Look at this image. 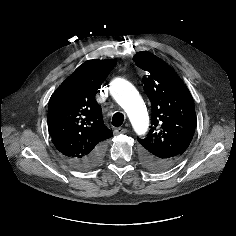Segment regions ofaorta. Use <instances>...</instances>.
I'll return each mask as SVG.
<instances>
[{
    "mask_svg": "<svg viewBox=\"0 0 236 236\" xmlns=\"http://www.w3.org/2000/svg\"><path fill=\"white\" fill-rule=\"evenodd\" d=\"M111 93L126 112L135 133L144 135L149 126V116L137 89L127 80L116 78L111 83Z\"/></svg>",
    "mask_w": 236,
    "mask_h": 236,
    "instance_id": "1",
    "label": "aorta"
}]
</instances>
